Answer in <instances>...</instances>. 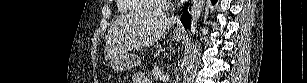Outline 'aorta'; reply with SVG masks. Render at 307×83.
Instances as JSON below:
<instances>
[{
  "label": "aorta",
  "mask_w": 307,
  "mask_h": 83,
  "mask_svg": "<svg viewBox=\"0 0 307 83\" xmlns=\"http://www.w3.org/2000/svg\"><path fill=\"white\" fill-rule=\"evenodd\" d=\"M204 2H205L204 0H192L191 1L190 15H191V35L192 36L197 33L198 24H199L201 15H202Z\"/></svg>",
  "instance_id": "aorta-1"
}]
</instances>
